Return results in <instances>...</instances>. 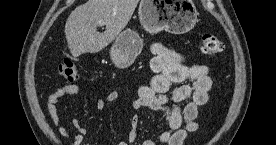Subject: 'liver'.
Wrapping results in <instances>:
<instances>
[{"label": "liver", "mask_w": 276, "mask_h": 145, "mask_svg": "<svg viewBox=\"0 0 276 145\" xmlns=\"http://www.w3.org/2000/svg\"><path fill=\"white\" fill-rule=\"evenodd\" d=\"M139 0H88L76 7L65 24L71 54L97 53L109 45L131 19ZM106 26L103 33L98 26Z\"/></svg>", "instance_id": "liver-1"}]
</instances>
